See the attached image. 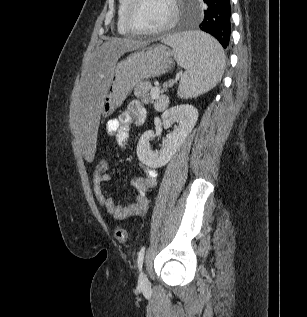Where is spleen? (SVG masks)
<instances>
[{
  "instance_id": "1",
  "label": "spleen",
  "mask_w": 307,
  "mask_h": 317,
  "mask_svg": "<svg viewBox=\"0 0 307 317\" xmlns=\"http://www.w3.org/2000/svg\"><path fill=\"white\" fill-rule=\"evenodd\" d=\"M161 43L173 48L177 64L185 69L178 88L180 98L197 97L221 81L225 54L210 35L200 31L180 35L168 33L161 38Z\"/></svg>"
}]
</instances>
